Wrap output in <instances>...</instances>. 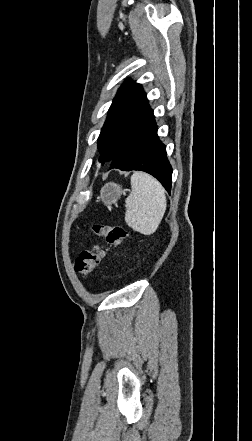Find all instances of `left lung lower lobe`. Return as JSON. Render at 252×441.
Returning a JSON list of instances; mask_svg holds the SVG:
<instances>
[{
  "instance_id": "left-lung-lower-lobe-1",
  "label": "left lung lower lobe",
  "mask_w": 252,
  "mask_h": 441,
  "mask_svg": "<svg viewBox=\"0 0 252 441\" xmlns=\"http://www.w3.org/2000/svg\"><path fill=\"white\" fill-rule=\"evenodd\" d=\"M110 168L147 172L170 193L172 168L166 156V146L157 135L153 110L148 103L125 135Z\"/></svg>"
}]
</instances>
